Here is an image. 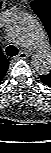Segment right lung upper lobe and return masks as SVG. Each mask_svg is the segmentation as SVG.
Wrapping results in <instances>:
<instances>
[{
    "mask_svg": "<svg viewBox=\"0 0 51 153\" xmlns=\"http://www.w3.org/2000/svg\"><path fill=\"white\" fill-rule=\"evenodd\" d=\"M2 2H0V8H1ZM9 66V61L5 57V55L0 50V82L5 76Z\"/></svg>",
    "mask_w": 51,
    "mask_h": 153,
    "instance_id": "right-lung-upper-lobe-1",
    "label": "right lung upper lobe"
}]
</instances>
